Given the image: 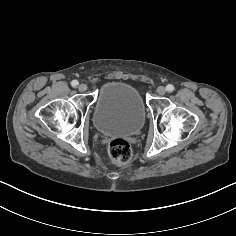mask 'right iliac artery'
Listing matches in <instances>:
<instances>
[{
  "label": "right iliac artery",
  "mask_w": 236,
  "mask_h": 236,
  "mask_svg": "<svg viewBox=\"0 0 236 236\" xmlns=\"http://www.w3.org/2000/svg\"><path fill=\"white\" fill-rule=\"evenodd\" d=\"M71 85H72L73 87H76V86L78 85V81H77V80H73V81L71 82Z\"/></svg>",
  "instance_id": "82829eb1"
}]
</instances>
